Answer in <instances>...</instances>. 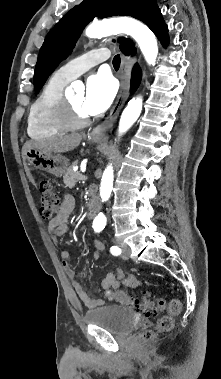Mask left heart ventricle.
Returning a JSON list of instances; mask_svg holds the SVG:
<instances>
[{"label":"left heart ventricle","instance_id":"left-heart-ventricle-1","mask_svg":"<svg viewBox=\"0 0 221 379\" xmlns=\"http://www.w3.org/2000/svg\"><path fill=\"white\" fill-rule=\"evenodd\" d=\"M68 100L70 101V103L81 113V114H84V115H87L83 108H82V104H83V100H84V96L83 94H77V95H74V96H71L68 98Z\"/></svg>","mask_w":221,"mask_h":379}]
</instances>
